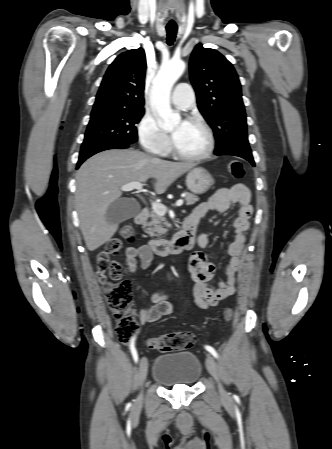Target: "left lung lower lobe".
Listing matches in <instances>:
<instances>
[{
	"instance_id": "1",
	"label": "left lung lower lobe",
	"mask_w": 332,
	"mask_h": 449,
	"mask_svg": "<svg viewBox=\"0 0 332 449\" xmlns=\"http://www.w3.org/2000/svg\"><path fill=\"white\" fill-rule=\"evenodd\" d=\"M215 154L216 155H233V156H238V157L246 159L253 166H255V162H254L251 150H244V149L234 148V149H229V150H225V151H222V152H215Z\"/></svg>"
}]
</instances>
